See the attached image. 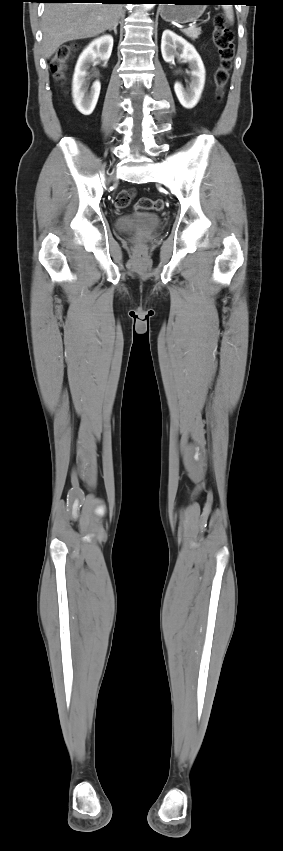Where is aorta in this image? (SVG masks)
Returning a JSON list of instances; mask_svg holds the SVG:
<instances>
[{
	"label": "aorta",
	"mask_w": 283,
	"mask_h": 851,
	"mask_svg": "<svg viewBox=\"0 0 283 851\" xmlns=\"http://www.w3.org/2000/svg\"><path fill=\"white\" fill-rule=\"evenodd\" d=\"M145 5L147 6V8H151L153 6V4H145Z\"/></svg>",
	"instance_id": "1"
}]
</instances>
